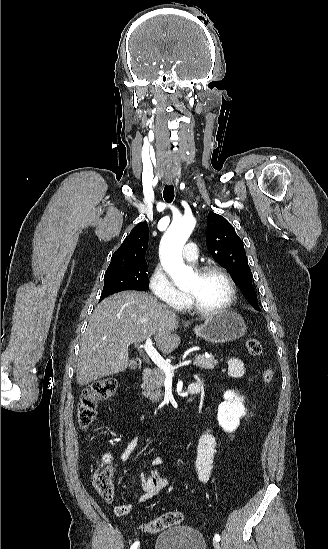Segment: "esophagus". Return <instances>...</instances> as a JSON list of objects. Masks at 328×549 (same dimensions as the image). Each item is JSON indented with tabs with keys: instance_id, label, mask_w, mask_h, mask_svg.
Returning a JSON list of instances; mask_svg holds the SVG:
<instances>
[{
	"instance_id": "1",
	"label": "esophagus",
	"mask_w": 328,
	"mask_h": 549,
	"mask_svg": "<svg viewBox=\"0 0 328 549\" xmlns=\"http://www.w3.org/2000/svg\"><path fill=\"white\" fill-rule=\"evenodd\" d=\"M166 182H167V183H171V182H172V180H166Z\"/></svg>"
}]
</instances>
